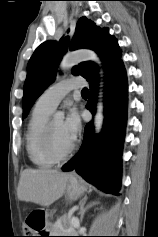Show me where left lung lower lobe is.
Here are the masks:
<instances>
[{
  "label": "left lung lower lobe",
  "mask_w": 158,
  "mask_h": 237,
  "mask_svg": "<svg viewBox=\"0 0 158 237\" xmlns=\"http://www.w3.org/2000/svg\"><path fill=\"white\" fill-rule=\"evenodd\" d=\"M97 84L98 79L89 82L91 95L86 107L92 114L95 112ZM104 105V127L99 139H94L93 124L88 123L80 150L62 170L75 169L87 182L117 195L127 110V82L122 61L106 72Z\"/></svg>",
  "instance_id": "obj_1"
}]
</instances>
